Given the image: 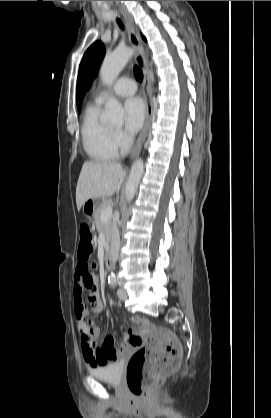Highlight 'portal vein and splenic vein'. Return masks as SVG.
<instances>
[{
	"label": "portal vein and splenic vein",
	"mask_w": 271,
	"mask_h": 418,
	"mask_svg": "<svg viewBox=\"0 0 271 418\" xmlns=\"http://www.w3.org/2000/svg\"><path fill=\"white\" fill-rule=\"evenodd\" d=\"M112 207L109 205L105 207L101 213V220L108 221L112 217Z\"/></svg>",
	"instance_id": "portal-vein-and-splenic-vein-1"
}]
</instances>
